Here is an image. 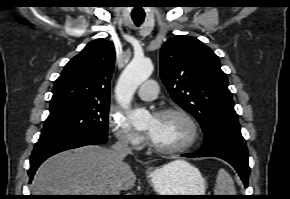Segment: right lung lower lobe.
I'll use <instances>...</instances> for the list:
<instances>
[{
    "mask_svg": "<svg viewBox=\"0 0 290 199\" xmlns=\"http://www.w3.org/2000/svg\"><path fill=\"white\" fill-rule=\"evenodd\" d=\"M107 142V137L92 134H81L77 136L59 138L46 141H38L30 157V169L28 170L29 182L42 162L50 156L73 148L85 145H97Z\"/></svg>",
    "mask_w": 290,
    "mask_h": 199,
    "instance_id": "98d812e1",
    "label": "right lung lower lobe"
}]
</instances>
